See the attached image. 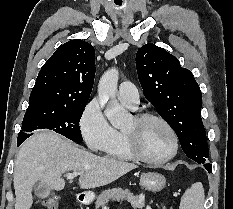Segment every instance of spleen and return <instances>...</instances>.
I'll return each instance as SVG.
<instances>
[{
    "mask_svg": "<svg viewBox=\"0 0 233 209\" xmlns=\"http://www.w3.org/2000/svg\"><path fill=\"white\" fill-rule=\"evenodd\" d=\"M204 200L203 185L200 182H196L182 196L180 209H203Z\"/></svg>",
    "mask_w": 233,
    "mask_h": 209,
    "instance_id": "spleen-1",
    "label": "spleen"
}]
</instances>
